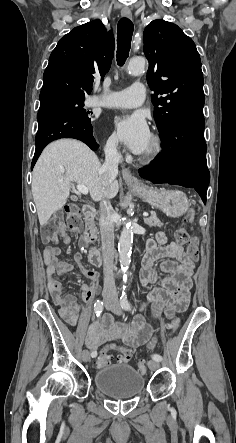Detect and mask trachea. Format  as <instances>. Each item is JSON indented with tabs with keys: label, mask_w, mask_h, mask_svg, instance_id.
Returning a JSON list of instances; mask_svg holds the SVG:
<instances>
[{
	"label": "trachea",
	"mask_w": 236,
	"mask_h": 443,
	"mask_svg": "<svg viewBox=\"0 0 236 443\" xmlns=\"http://www.w3.org/2000/svg\"><path fill=\"white\" fill-rule=\"evenodd\" d=\"M133 30V23L128 18L124 17L119 20L117 26V63L119 66H123L129 56Z\"/></svg>",
	"instance_id": "obj_1"
}]
</instances>
